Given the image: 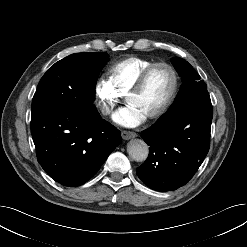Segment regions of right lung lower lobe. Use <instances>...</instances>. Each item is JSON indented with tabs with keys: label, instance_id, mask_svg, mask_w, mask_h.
<instances>
[{
	"label": "right lung lower lobe",
	"instance_id": "right-lung-lower-lobe-1",
	"mask_svg": "<svg viewBox=\"0 0 247 247\" xmlns=\"http://www.w3.org/2000/svg\"><path fill=\"white\" fill-rule=\"evenodd\" d=\"M31 134L44 171L68 187L87 182L121 143L120 131L97 111L83 114L61 105L32 115Z\"/></svg>",
	"mask_w": 247,
	"mask_h": 247
}]
</instances>
